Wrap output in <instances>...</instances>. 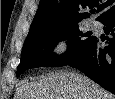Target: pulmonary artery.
<instances>
[{
  "label": "pulmonary artery",
  "mask_w": 115,
  "mask_h": 99,
  "mask_svg": "<svg viewBox=\"0 0 115 99\" xmlns=\"http://www.w3.org/2000/svg\"><path fill=\"white\" fill-rule=\"evenodd\" d=\"M91 26H93V27H97V26H98V22H97V21H95V20H94V21H92V22H91Z\"/></svg>",
  "instance_id": "e3ab8cb5"
}]
</instances>
